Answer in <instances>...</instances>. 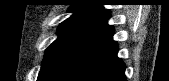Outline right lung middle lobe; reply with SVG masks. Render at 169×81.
<instances>
[{
    "instance_id": "obj_1",
    "label": "right lung middle lobe",
    "mask_w": 169,
    "mask_h": 81,
    "mask_svg": "<svg viewBox=\"0 0 169 81\" xmlns=\"http://www.w3.org/2000/svg\"><path fill=\"white\" fill-rule=\"evenodd\" d=\"M86 24L80 19H67L61 23L58 29V39H56L46 50L42 65L52 56V54L72 35L77 29Z\"/></svg>"
}]
</instances>
